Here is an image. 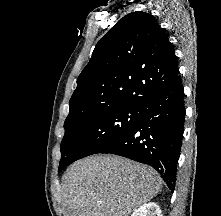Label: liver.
<instances>
[{
    "instance_id": "liver-1",
    "label": "liver",
    "mask_w": 221,
    "mask_h": 216,
    "mask_svg": "<svg viewBox=\"0 0 221 216\" xmlns=\"http://www.w3.org/2000/svg\"><path fill=\"white\" fill-rule=\"evenodd\" d=\"M161 186L160 175L147 165L115 155L90 156L62 177L65 216H129Z\"/></svg>"
}]
</instances>
